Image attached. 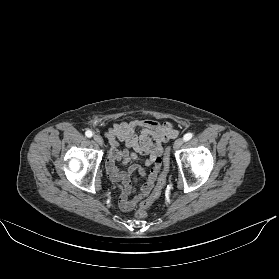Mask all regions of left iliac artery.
I'll list each match as a JSON object with an SVG mask.
<instances>
[{
    "label": "left iliac artery",
    "instance_id": "1",
    "mask_svg": "<svg viewBox=\"0 0 279 279\" xmlns=\"http://www.w3.org/2000/svg\"><path fill=\"white\" fill-rule=\"evenodd\" d=\"M192 136H193L192 133H186L184 135L183 139H184V141H188L192 138Z\"/></svg>",
    "mask_w": 279,
    "mask_h": 279
}]
</instances>
